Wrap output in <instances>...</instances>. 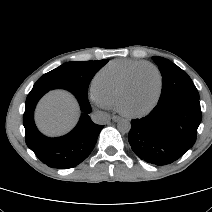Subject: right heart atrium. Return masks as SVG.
Segmentation results:
<instances>
[{
  "label": "right heart atrium",
  "mask_w": 212,
  "mask_h": 212,
  "mask_svg": "<svg viewBox=\"0 0 212 212\" xmlns=\"http://www.w3.org/2000/svg\"><path fill=\"white\" fill-rule=\"evenodd\" d=\"M90 102L99 109L108 110L112 103L93 85L89 92Z\"/></svg>",
  "instance_id": "obj_1"
}]
</instances>
